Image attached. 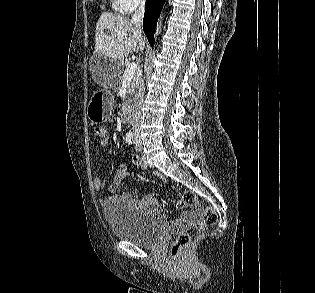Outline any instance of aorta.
Masks as SVG:
<instances>
[{"instance_id": "1", "label": "aorta", "mask_w": 315, "mask_h": 293, "mask_svg": "<svg viewBox=\"0 0 315 293\" xmlns=\"http://www.w3.org/2000/svg\"><path fill=\"white\" fill-rule=\"evenodd\" d=\"M162 19H163V14L160 16V19L158 21L157 27H156V33L155 35L157 36L160 31H161V27H162Z\"/></svg>"}]
</instances>
